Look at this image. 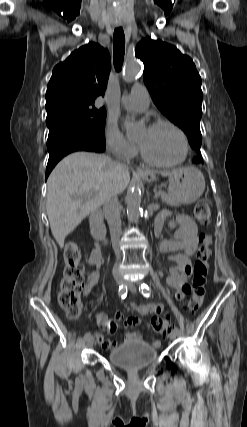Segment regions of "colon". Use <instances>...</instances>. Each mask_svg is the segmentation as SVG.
I'll return each instance as SVG.
<instances>
[{"label":"colon","mask_w":247,"mask_h":427,"mask_svg":"<svg viewBox=\"0 0 247 427\" xmlns=\"http://www.w3.org/2000/svg\"><path fill=\"white\" fill-rule=\"evenodd\" d=\"M194 216L200 224L204 226L210 224L211 210L205 199H200L196 203ZM200 242L201 247L197 252L193 268L194 276L192 286L190 287L191 296L187 305L188 312L192 314L197 312L203 304L209 259L211 256L210 235L203 233L200 236ZM80 258L81 252L79 245L74 241L68 242L63 252L64 271L60 282L58 303L70 319L79 318L82 310L80 294L84 276ZM150 326L155 332L165 334L171 330L172 321L170 317H153L150 321Z\"/></svg>","instance_id":"colon-1"}]
</instances>
